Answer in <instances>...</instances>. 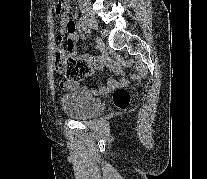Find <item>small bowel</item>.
I'll return each mask as SVG.
<instances>
[{"mask_svg": "<svg viewBox=\"0 0 207 179\" xmlns=\"http://www.w3.org/2000/svg\"><path fill=\"white\" fill-rule=\"evenodd\" d=\"M60 26H61V31L58 37H61V35H63L65 31H67L68 32V47L71 51H74L76 47V42L78 41L77 25L67 15V16L61 17ZM88 64L92 71L97 70V69L109 68L115 71L120 76L119 79H115V78L107 79L104 84L100 85L98 88L94 90L97 94L104 95L113 88H116L118 86H125L128 82L126 77L124 76V71L122 69V66L117 60H113L103 55L92 61H89ZM64 87L70 88L71 85L64 84Z\"/></svg>", "mask_w": 207, "mask_h": 179, "instance_id": "1", "label": "small bowel"}]
</instances>
